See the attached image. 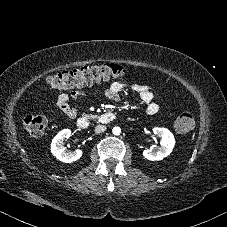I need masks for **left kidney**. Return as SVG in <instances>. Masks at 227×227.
<instances>
[{"label":"left kidney","instance_id":"5707ae66","mask_svg":"<svg viewBox=\"0 0 227 227\" xmlns=\"http://www.w3.org/2000/svg\"><path fill=\"white\" fill-rule=\"evenodd\" d=\"M153 133L162 138L161 147L157 150L146 149L143 151V156L151 161H159L170 155L175 146V138L167 128L155 127Z\"/></svg>","mask_w":227,"mask_h":227}]
</instances>
